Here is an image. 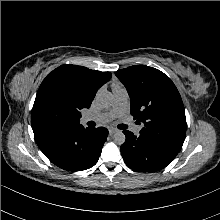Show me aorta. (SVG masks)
I'll return each instance as SVG.
<instances>
[{
	"mask_svg": "<svg viewBox=\"0 0 220 220\" xmlns=\"http://www.w3.org/2000/svg\"><path fill=\"white\" fill-rule=\"evenodd\" d=\"M96 102L102 108H108L113 104V96L110 92H99L96 95ZM125 134L119 130L113 134V141L117 145H122L125 142Z\"/></svg>",
	"mask_w": 220,
	"mask_h": 220,
	"instance_id": "762f6f07",
	"label": "aorta"
}]
</instances>
